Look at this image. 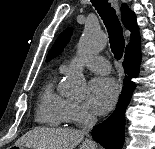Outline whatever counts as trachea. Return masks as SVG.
<instances>
[{
	"instance_id": "trachea-1",
	"label": "trachea",
	"mask_w": 155,
	"mask_h": 149,
	"mask_svg": "<svg viewBox=\"0 0 155 149\" xmlns=\"http://www.w3.org/2000/svg\"><path fill=\"white\" fill-rule=\"evenodd\" d=\"M92 5L99 13L109 35L110 48L116 59H121L124 51L125 40L121 23L115 9L108 0H91Z\"/></svg>"
}]
</instances>
